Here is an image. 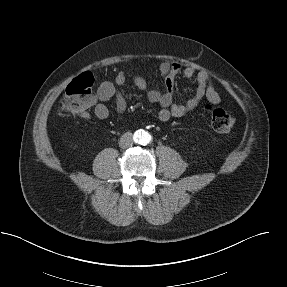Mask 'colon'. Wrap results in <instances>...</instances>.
<instances>
[{
  "mask_svg": "<svg viewBox=\"0 0 287 287\" xmlns=\"http://www.w3.org/2000/svg\"><path fill=\"white\" fill-rule=\"evenodd\" d=\"M94 78L85 72L74 78L65 88L62 109L72 115L81 116L95 102ZM206 111L212 127L218 132H228L236 124L235 117L222 108L207 105Z\"/></svg>",
  "mask_w": 287,
  "mask_h": 287,
  "instance_id": "obj_1",
  "label": "colon"
}]
</instances>
